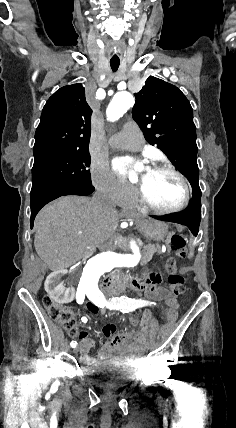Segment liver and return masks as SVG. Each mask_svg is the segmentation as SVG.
<instances>
[{"label":"liver","instance_id":"6515ba94","mask_svg":"<svg viewBox=\"0 0 236 428\" xmlns=\"http://www.w3.org/2000/svg\"><path fill=\"white\" fill-rule=\"evenodd\" d=\"M119 216L95 198L63 196L35 220V250L50 270L69 268L96 248L112 250Z\"/></svg>","mask_w":236,"mask_h":428}]
</instances>
